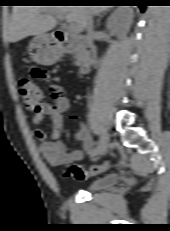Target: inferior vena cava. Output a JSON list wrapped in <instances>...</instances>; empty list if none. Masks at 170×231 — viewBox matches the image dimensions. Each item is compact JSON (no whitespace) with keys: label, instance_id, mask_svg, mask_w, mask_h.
<instances>
[{"label":"inferior vena cava","instance_id":"602c4592","mask_svg":"<svg viewBox=\"0 0 170 231\" xmlns=\"http://www.w3.org/2000/svg\"><path fill=\"white\" fill-rule=\"evenodd\" d=\"M87 36L89 38H91L94 34V31H93V22H92V15L90 13H88L87 15Z\"/></svg>","mask_w":170,"mask_h":231}]
</instances>
